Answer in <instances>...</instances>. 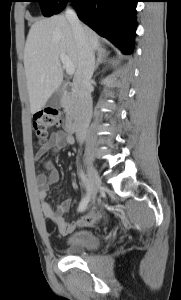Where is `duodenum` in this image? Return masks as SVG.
Returning <instances> with one entry per match:
<instances>
[{
	"instance_id": "obj_1",
	"label": "duodenum",
	"mask_w": 181,
	"mask_h": 300,
	"mask_svg": "<svg viewBox=\"0 0 181 300\" xmlns=\"http://www.w3.org/2000/svg\"><path fill=\"white\" fill-rule=\"evenodd\" d=\"M67 96L70 98V115L67 120V131L73 133L81 126L86 114V107L80 102L79 95L72 84H68L66 89Z\"/></svg>"
}]
</instances>
